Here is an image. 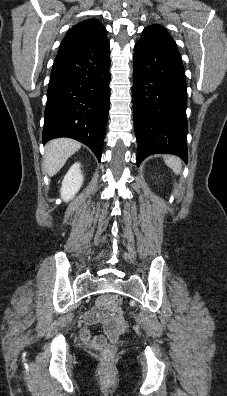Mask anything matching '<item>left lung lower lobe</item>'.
<instances>
[{
	"label": "left lung lower lobe",
	"instance_id": "0a47b994",
	"mask_svg": "<svg viewBox=\"0 0 227 396\" xmlns=\"http://www.w3.org/2000/svg\"><path fill=\"white\" fill-rule=\"evenodd\" d=\"M187 87L175 43L142 39L133 56V111L137 165L149 155L187 156Z\"/></svg>",
	"mask_w": 227,
	"mask_h": 396
}]
</instances>
